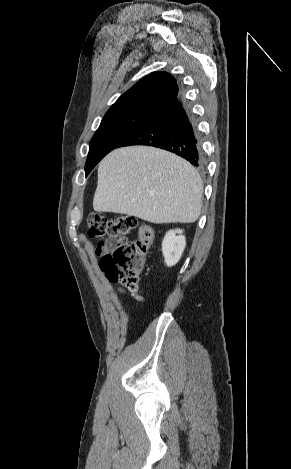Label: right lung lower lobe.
Listing matches in <instances>:
<instances>
[{"label": "right lung lower lobe", "instance_id": "obj_1", "mask_svg": "<svg viewBox=\"0 0 291 469\" xmlns=\"http://www.w3.org/2000/svg\"><path fill=\"white\" fill-rule=\"evenodd\" d=\"M128 145H149L165 149L183 157L195 167L204 166L195 118L181 97L150 116L115 148Z\"/></svg>", "mask_w": 291, "mask_h": 469}]
</instances>
